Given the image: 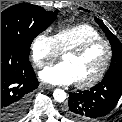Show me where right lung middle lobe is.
Instances as JSON below:
<instances>
[{
	"label": "right lung middle lobe",
	"instance_id": "right-lung-middle-lobe-1",
	"mask_svg": "<svg viewBox=\"0 0 122 122\" xmlns=\"http://www.w3.org/2000/svg\"><path fill=\"white\" fill-rule=\"evenodd\" d=\"M58 11L48 12L31 4H16L1 13V44L15 46L29 55L33 39L57 17Z\"/></svg>",
	"mask_w": 122,
	"mask_h": 122
}]
</instances>
